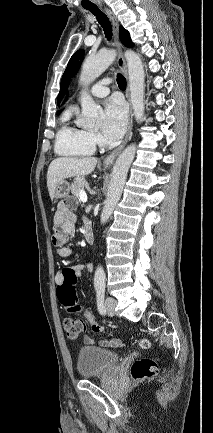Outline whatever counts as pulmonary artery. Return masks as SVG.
<instances>
[{
	"mask_svg": "<svg viewBox=\"0 0 213 433\" xmlns=\"http://www.w3.org/2000/svg\"><path fill=\"white\" fill-rule=\"evenodd\" d=\"M110 80L105 79L96 83L90 90V93L95 97H105L109 94V85Z\"/></svg>",
	"mask_w": 213,
	"mask_h": 433,
	"instance_id": "e3ab8cb5",
	"label": "pulmonary artery"
}]
</instances>
